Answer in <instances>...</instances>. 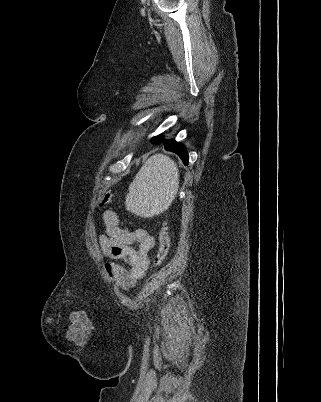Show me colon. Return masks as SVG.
<instances>
[{"instance_id":"obj_1","label":"colon","mask_w":321,"mask_h":402,"mask_svg":"<svg viewBox=\"0 0 321 402\" xmlns=\"http://www.w3.org/2000/svg\"><path fill=\"white\" fill-rule=\"evenodd\" d=\"M112 202V194L106 193L101 204L107 205ZM170 251V236L165 226H162L159 231V244L154 256V264L161 265L168 257Z\"/></svg>"}]
</instances>
